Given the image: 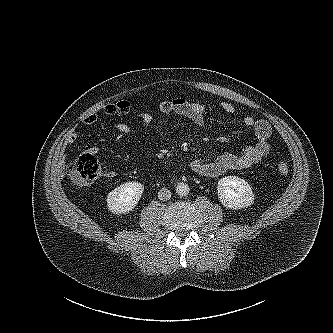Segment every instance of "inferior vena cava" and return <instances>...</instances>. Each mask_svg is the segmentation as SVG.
<instances>
[{
    "label": "inferior vena cava",
    "mask_w": 333,
    "mask_h": 333,
    "mask_svg": "<svg viewBox=\"0 0 333 333\" xmlns=\"http://www.w3.org/2000/svg\"><path fill=\"white\" fill-rule=\"evenodd\" d=\"M158 198L161 201H167L171 198V191L167 188H162L158 191Z\"/></svg>",
    "instance_id": "1"
}]
</instances>
